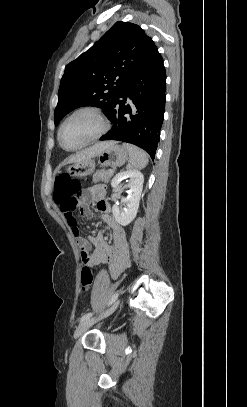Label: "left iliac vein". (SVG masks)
Wrapping results in <instances>:
<instances>
[{
  "instance_id": "left-iliac-vein-1",
  "label": "left iliac vein",
  "mask_w": 247,
  "mask_h": 407,
  "mask_svg": "<svg viewBox=\"0 0 247 407\" xmlns=\"http://www.w3.org/2000/svg\"><path fill=\"white\" fill-rule=\"evenodd\" d=\"M118 304H119V302L117 301L107 312H105L102 316H100L98 318H94V319L89 318L87 320L82 321L77 326V328L74 332V338L80 337L92 324H94L98 320L105 318V317L109 316L110 314H112L118 307Z\"/></svg>"
}]
</instances>
